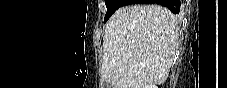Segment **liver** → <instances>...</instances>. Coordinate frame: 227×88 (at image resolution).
I'll use <instances>...</instances> for the list:
<instances>
[{"label": "liver", "mask_w": 227, "mask_h": 88, "mask_svg": "<svg viewBox=\"0 0 227 88\" xmlns=\"http://www.w3.org/2000/svg\"><path fill=\"white\" fill-rule=\"evenodd\" d=\"M178 38V19L165 7L150 4L118 9L104 32L102 81L113 88L164 83Z\"/></svg>", "instance_id": "6515ba94"}]
</instances>
